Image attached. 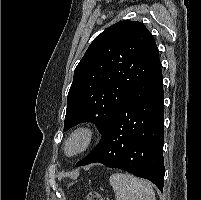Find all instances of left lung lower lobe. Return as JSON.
I'll use <instances>...</instances> for the list:
<instances>
[{"label": "left lung lower lobe", "instance_id": "left-lung-lower-lobe-1", "mask_svg": "<svg viewBox=\"0 0 201 200\" xmlns=\"http://www.w3.org/2000/svg\"><path fill=\"white\" fill-rule=\"evenodd\" d=\"M164 92L160 60L118 104L99 144L76 166L102 163L164 185Z\"/></svg>", "mask_w": 201, "mask_h": 200}]
</instances>
